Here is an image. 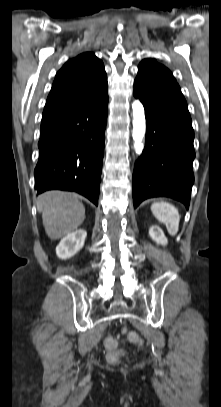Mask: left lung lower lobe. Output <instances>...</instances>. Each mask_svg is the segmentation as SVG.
<instances>
[{"label": "left lung lower lobe", "mask_w": 221, "mask_h": 407, "mask_svg": "<svg viewBox=\"0 0 221 407\" xmlns=\"http://www.w3.org/2000/svg\"><path fill=\"white\" fill-rule=\"evenodd\" d=\"M134 96L144 105L146 145L133 172L136 208L151 197H169L189 208L194 183V131L186 100L177 85L134 82Z\"/></svg>", "instance_id": "0a47b994"}]
</instances>
